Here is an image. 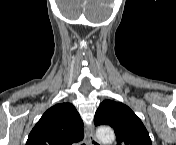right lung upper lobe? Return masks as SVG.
Segmentation results:
<instances>
[{"label": "right lung upper lobe", "instance_id": "right-lung-upper-lobe-1", "mask_svg": "<svg viewBox=\"0 0 176 145\" xmlns=\"http://www.w3.org/2000/svg\"><path fill=\"white\" fill-rule=\"evenodd\" d=\"M83 121L71 103L48 109L28 136L26 145H72L83 140Z\"/></svg>", "mask_w": 176, "mask_h": 145}]
</instances>
